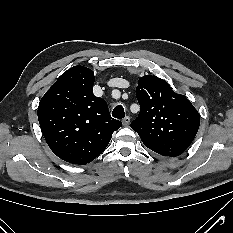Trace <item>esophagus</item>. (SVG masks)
<instances>
[{
    "label": "esophagus",
    "instance_id": "obj_1",
    "mask_svg": "<svg viewBox=\"0 0 233 233\" xmlns=\"http://www.w3.org/2000/svg\"><path fill=\"white\" fill-rule=\"evenodd\" d=\"M123 125L126 127L129 125L130 123V117L126 116L123 120H122Z\"/></svg>",
    "mask_w": 233,
    "mask_h": 233
}]
</instances>
